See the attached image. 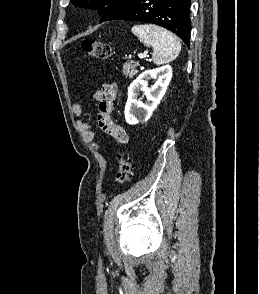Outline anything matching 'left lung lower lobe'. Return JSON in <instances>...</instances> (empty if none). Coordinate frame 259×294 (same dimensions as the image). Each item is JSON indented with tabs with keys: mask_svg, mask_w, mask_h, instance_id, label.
Returning <instances> with one entry per match:
<instances>
[{
	"mask_svg": "<svg viewBox=\"0 0 259 294\" xmlns=\"http://www.w3.org/2000/svg\"><path fill=\"white\" fill-rule=\"evenodd\" d=\"M190 5L191 0H129L105 21L129 20L160 25L178 35L189 47Z\"/></svg>",
	"mask_w": 259,
	"mask_h": 294,
	"instance_id": "1",
	"label": "left lung lower lobe"
}]
</instances>
